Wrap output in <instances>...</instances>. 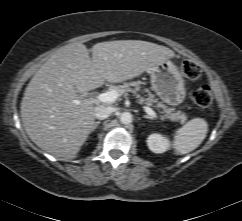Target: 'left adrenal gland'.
<instances>
[{"label": "left adrenal gland", "mask_w": 242, "mask_h": 221, "mask_svg": "<svg viewBox=\"0 0 242 221\" xmlns=\"http://www.w3.org/2000/svg\"><path fill=\"white\" fill-rule=\"evenodd\" d=\"M143 118H146V119H153L151 116L149 115H143Z\"/></svg>", "instance_id": "obj_1"}]
</instances>
